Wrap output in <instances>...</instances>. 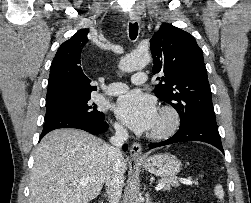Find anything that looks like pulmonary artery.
<instances>
[{"label":"pulmonary artery","instance_id":"e3ab8cb5","mask_svg":"<svg viewBox=\"0 0 251 203\" xmlns=\"http://www.w3.org/2000/svg\"><path fill=\"white\" fill-rule=\"evenodd\" d=\"M147 80V75L144 72L135 73L132 76V82L135 85L143 84ZM128 90V85L121 82H113L109 85V89L107 91L108 95H119Z\"/></svg>","mask_w":251,"mask_h":203}]
</instances>
